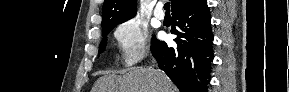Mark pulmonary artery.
Segmentation results:
<instances>
[{
  "label": "pulmonary artery",
  "mask_w": 289,
  "mask_h": 92,
  "mask_svg": "<svg viewBox=\"0 0 289 92\" xmlns=\"http://www.w3.org/2000/svg\"><path fill=\"white\" fill-rule=\"evenodd\" d=\"M154 16L159 19V20H163L164 19V13L161 9V4H158L156 9L154 10Z\"/></svg>",
  "instance_id": "pulmonary-artery-1"
}]
</instances>
